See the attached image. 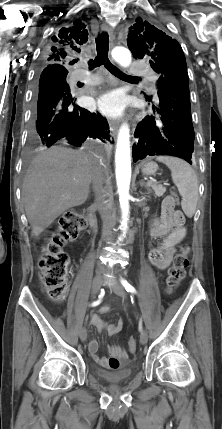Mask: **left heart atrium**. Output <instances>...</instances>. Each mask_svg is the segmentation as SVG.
<instances>
[{"label": "left heart atrium", "mask_w": 222, "mask_h": 429, "mask_svg": "<svg viewBox=\"0 0 222 429\" xmlns=\"http://www.w3.org/2000/svg\"><path fill=\"white\" fill-rule=\"evenodd\" d=\"M125 107V98L119 91L102 95L97 101V108L108 117L119 116Z\"/></svg>", "instance_id": "obj_1"}]
</instances>
